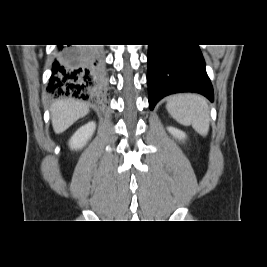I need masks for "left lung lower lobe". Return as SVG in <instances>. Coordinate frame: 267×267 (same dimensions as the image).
<instances>
[{
	"instance_id": "left-lung-lower-lobe-1",
	"label": "left lung lower lobe",
	"mask_w": 267,
	"mask_h": 267,
	"mask_svg": "<svg viewBox=\"0 0 267 267\" xmlns=\"http://www.w3.org/2000/svg\"><path fill=\"white\" fill-rule=\"evenodd\" d=\"M147 59L151 110L173 93L197 92L213 101V88L198 45H149Z\"/></svg>"
}]
</instances>
